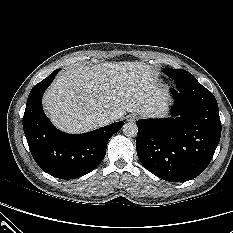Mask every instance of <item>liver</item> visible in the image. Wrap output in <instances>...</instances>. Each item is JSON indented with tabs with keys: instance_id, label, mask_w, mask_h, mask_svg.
I'll return each instance as SVG.
<instances>
[{
	"instance_id": "obj_1",
	"label": "liver",
	"mask_w": 233,
	"mask_h": 233,
	"mask_svg": "<svg viewBox=\"0 0 233 233\" xmlns=\"http://www.w3.org/2000/svg\"><path fill=\"white\" fill-rule=\"evenodd\" d=\"M166 100L149 65L124 61L66 69L46 91L43 104L60 130L83 133L103 126L97 119L104 114L112 122L126 112L159 117Z\"/></svg>"
}]
</instances>
